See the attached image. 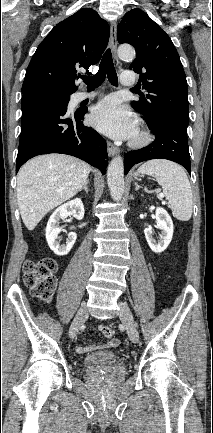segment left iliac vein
I'll return each instance as SVG.
<instances>
[{
  "mask_svg": "<svg viewBox=\"0 0 213 433\" xmlns=\"http://www.w3.org/2000/svg\"><path fill=\"white\" fill-rule=\"evenodd\" d=\"M120 306V319L123 322L124 326L126 327L128 336L132 342H137L139 339V333L136 329V326L134 324V319L132 312L127 304L125 303H119Z\"/></svg>",
  "mask_w": 213,
  "mask_h": 433,
  "instance_id": "4c4485c4",
  "label": "left iliac vein"
}]
</instances>
